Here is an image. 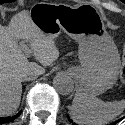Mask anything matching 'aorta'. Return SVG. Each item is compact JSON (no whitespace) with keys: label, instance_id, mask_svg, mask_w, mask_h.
<instances>
[{"label":"aorta","instance_id":"1","mask_svg":"<svg viewBox=\"0 0 125 125\" xmlns=\"http://www.w3.org/2000/svg\"><path fill=\"white\" fill-rule=\"evenodd\" d=\"M53 86L59 94L68 95L73 91L74 83L69 76L58 74L53 80Z\"/></svg>","mask_w":125,"mask_h":125}]
</instances>
